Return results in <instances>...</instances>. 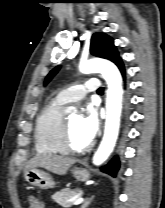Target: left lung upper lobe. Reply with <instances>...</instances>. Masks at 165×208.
I'll list each match as a JSON object with an SVG mask.
<instances>
[{
    "instance_id": "left-lung-upper-lobe-1",
    "label": "left lung upper lobe",
    "mask_w": 165,
    "mask_h": 208,
    "mask_svg": "<svg viewBox=\"0 0 165 208\" xmlns=\"http://www.w3.org/2000/svg\"><path fill=\"white\" fill-rule=\"evenodd\" d=\"M90 52L97 57L108 59L114 63L120 60L113 39L104 33H95L91 38ZM60 66L55 67L46 77L45 85L58 72Z\"/></svg>"
}]
</instances>
